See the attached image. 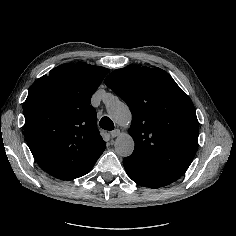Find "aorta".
Here are the masks:
<instances>
[{"instance_id": "1", "label": "aorta", "mask_w": 236, "mask_h": 236, "mask_svg": "<svg viewBox=\"0 0 236 236\" xmlns=\"http://www.w3.org/2000/svg\"><path fill=\"white\" fill-rule=\"evenodd\" d=\"M106 104L107 112L112 120L121 126L129 125L132 116L129 107L124 102H121L114 97H110ZM134 146L135 143L133 138L127 133L120 134L115 140V152L122 157L131 155Z\"/></svg>"}]
</instances>
